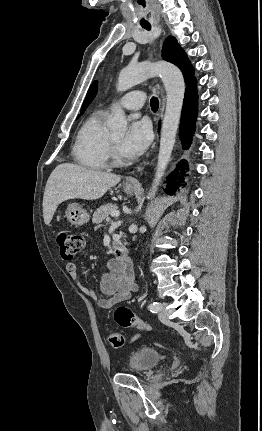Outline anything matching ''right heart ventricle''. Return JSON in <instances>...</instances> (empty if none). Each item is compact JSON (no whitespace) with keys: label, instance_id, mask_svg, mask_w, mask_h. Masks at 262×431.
<instances>
[{"label":"right heart ventricle","instance_id":"1","mask_svg":"<svg viewBox=\"0 0 262 431\" xmlns=\"http://www.w3.org/2000/svg\"><path fill=\"white\" fill-rule=\"evenodd\" d=\"M106 112L90 114L79 128L73 154L80 165L89 169H104L110 155V135L104 127Z\"/></svg>","mask_w":262,"mask_h":431}]
</instances>
